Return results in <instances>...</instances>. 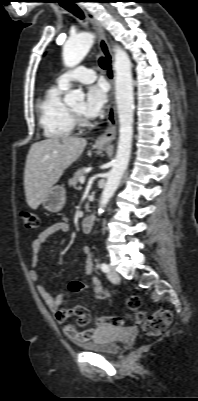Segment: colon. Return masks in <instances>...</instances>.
<instances>
[{
	"instance_id": "colon-1",
	"label": "colon",
	"mask_w": 198,
	"mask_h": 401,
	"mask_svg": "<svg viewBox=\"0 0 198 401\" xmlns=\"http://www.w3.org/2000/svg\"><path fill=\"white\" fill-rule=\"evenodd\" d=\"M20 217L23 226L26 229H37L39 227L38 216L28 210L20 212ZM77 289V285L74 282L69 284V291L74 292ZM141 300L138 295H131L126 300V307L129 311L133 312L130 320L141 323L143 322L144 332L149 336L160 335L171 323L172 315L167 309H158L150 316L140 310ZM74 313L79 316V322L85 325L89 322V313L84 307H76ZM97 322L104 327H121L125 324V319L114 316L99 317Z\"/></svg>"
}]
</instances>
